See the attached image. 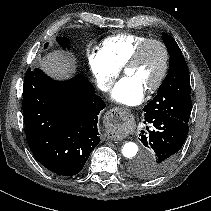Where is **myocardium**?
I'll return each instance as SVG.
<instances>
[{"label": "myocardium", "mask_w": 211, "mask_h": 211, "mask_svg": "<svg viewBox=\"0 0 211 211\" xmlns=\"http://www.w3.org/2000/svg\"><path fill=\"white\" fill-rule=\"evenodd\" d=\"M151 45H155L157 46L161 52H162V67H161V71L160 74L158 76V78L156 79V81L154 82L153 85H151L146 91L148 93H154L155 91H157L164 83L168 71H169V61H170V55H169V51L167 46L165 45V43L157 38H147L144 41H142L132 52V54L130 55V57L127 59V61L125 62L123 68H124V72L127 68H129L130 66L135 65L141 55L143 54V52L145 51L146 48H148Z\"/></svg>", "instance_id": "f54148a6"}]
</instances>
